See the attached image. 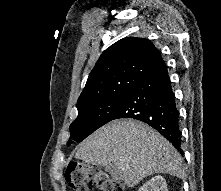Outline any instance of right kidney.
Wrapping results in <instances>:
<instances>
[{
    "label": "right kidney",
    "instance_id": "obj_1",
    "mask_svg": "<svg viewBox=\"0 0 221 191\" xmlns=\"http://www.w3.org/2000/svg\"><path fill=\"white\" fill-rule=\"evenodd\" d=\"M138 191H168L166 180L158 175L144 183Z\"/></svg>",
    "mask_w": 221,
    "mask_h": 191
}]
</instances>
